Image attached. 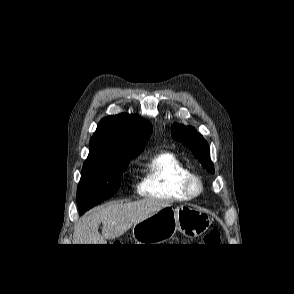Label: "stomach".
<instances>
[{
  "label": "stomach",
  "mask_w": 294,
  "mask_h": 294,
  "mask_svg": "<svg viewBox=\"0 0 294 294\" xmlns=\"http://www.w3.org/2000/svg\"><path fill=\"white\" fill-rule=\"evenodd\" d=\"M211 225L205 212L181 205L161 209L147 219L133 226L136 244H162L171 239L177 231L188 238L202 235Z\"/></svg>",
  "instance_id": "stomach-1"
}]
</instances>
